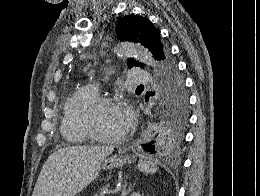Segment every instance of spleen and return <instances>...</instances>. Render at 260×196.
<instances>
[{
    "label": "spleen",
    "instance_id": "obj_1",
    "mask_svg": "<svg viewBox=\"0 0 260 196\" xmlns=\"http://www.w3.org/2000/svg\"><path fill=\"white\" fill-rule=\"evenodd\" d=\"M157 160H140L138 170L145 172V174H155L157 172Z\"/></svg>",
    "mask_w": 260,
    "mask_h": 196
}]
</instances>
